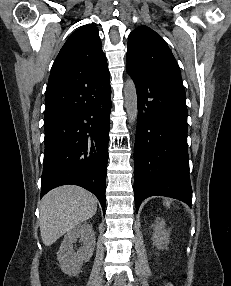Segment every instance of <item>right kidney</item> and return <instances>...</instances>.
<instances>
[{
  "label": "right kidney",
  "mask_w": 231,
  "mask_h": 286,
  "mask_svg": "<svg viewBox=\"0 0 231 286\" xmlns=\"http://www.w3.org/2000/svg\"><path fill=\"white\" fill-rule=\"evenodd\" d=\"M77 239L83 243V246L75 252L72 244ZM95 241V233L88 223L80 224L68 231L57 252L61 270L69 275L80 273L83 262L89 261L93 255Z\"/></svg>",
  "instance_id": "right-kidney-1"
}]
</instances>
